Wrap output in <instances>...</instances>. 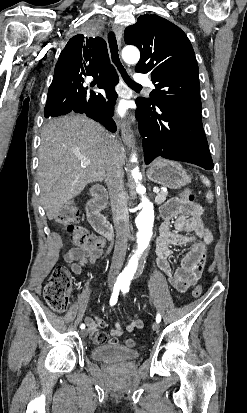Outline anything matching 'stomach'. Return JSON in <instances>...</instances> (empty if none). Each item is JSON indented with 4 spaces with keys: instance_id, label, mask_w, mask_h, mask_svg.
Instances as JSON below:
<instances>
[{
    "instance_id": "stomach-1",
    "label": "stomach",
    "mask_w": 247,
    "mask_h": 413,
    "mask_svg": "<svg viewBox=\"0 0 247 413\" xmlns=\"http://www.w3.org/2000/svg\"><path fill=\"white\" fill-rule=\"evenodd\" d=\"M147 176L153 182L168 186V188H181L188 182H191L190 174H187L185 168L179 162L166 160V158H157L147 170Z\"/></svg>"
}]
</instances>
